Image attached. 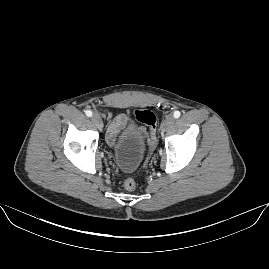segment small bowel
I'll return each instance as SVG.
<instances>
[{
  "instance_id": "c3829d8e",
  "label": "small bowel",
  "mask_w": 269,
  "mask_h": 269,
  "mask_svg": "<svg viewBox=\"0 0 269 269\" xmlns=\"http://www.w3.org/2000/svg\"><path fill=\"white\" fill-rule=\"evenodd\" d=\"M128 118L125 114H119L115 118L112 119L109 127H108V139L110 142H113L118 136L119 132L125 127L127 124ZM144 133V131H142Z\"/></svg>"
}]
</instances>
